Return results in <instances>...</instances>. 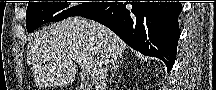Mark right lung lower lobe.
Listing matches in <instances>:
<instances>
[{"mask_svg": "<svg viewBox=\"0 0 216 90\" xmlns=\"http://www.w3.org/2000/svg\"><path fill=\"white\" fill-rule=\"evenodd\" d=\"M181 11L180 2H104L81 17L110 28L142 54L161 59L169 72L176 58Z\"/></svg>", "mask_w": 216, "mask_h": 90, "instance_id": "obj_1", "label": "right lung lower lobe"}]
</instances>
